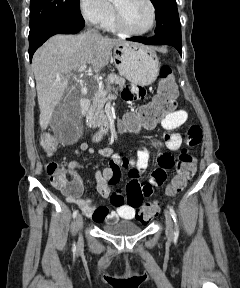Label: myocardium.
<instances>
[{
	"instance_id": "f54148a6",
	"label": "myocardium",
	"mask_w": 240,
	"mask_h": 288,
	"mask_svg": "<svg viewBox=\"0 0 240 288\" xmlns=\"http://www.w3.org/2000/svg\"><path fill=\"white\" fill-rule=\"evenodd\" d=\"M146 2L149 4V6L151 8V11H152V22H151L150 27L148 29L144 30V31L131 30L127 26L122 12L115 5V21H116L117 27L120 29V31H122V32H124L126 34H129V35H133V36H142V35H146V34L152 32L154 30V28L156 27V21H157L156 6H155V4H154V2L152 0H146Z\"/></svg>"
}]
</instances>
